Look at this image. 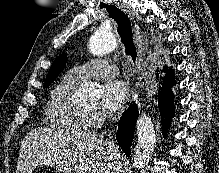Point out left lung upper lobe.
Wrapping results in <instances>:
<instances>
[{
  "instance_id": "5c2ea615",
  "label": "left lung upper lobe",
  "mask_w": 219,
  "mask_h": 173,
  "mask_svg": "<svg viewBox=\"0 0 219 173\" xmlns=\"http://www.w3.org/2000/svg\"><path fill=\"white\" fill-rule=\"evenodd\" d=\"M67 62V54L60 55L51 65L50 70L48 72L44 88L48 87L56 77L62 72L65 68Z\"/></svg>"
}]
</instances>
